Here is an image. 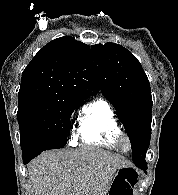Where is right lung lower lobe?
Masks as SVG:
<instances>
[{
  "label": "right lung lower lobe",
  "instance_id": "98d812e1",
  "mask_svg": "<svg viewBox=\"0 0 178 195\" xmlns=\"http://www.w3.org/2000/svg\"><path fill=\"white\" fill-rule=\"evenodd\" d=\"M53 149H57V148H53ZM44 150H50V149L31 150V151L22 152L23 163L24 164L29 163L34 157L38 156Z\"/></svg>",
  "mask_w": 178,
  "mask_h": 195
}]
</instances>
